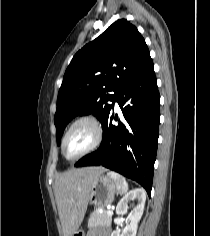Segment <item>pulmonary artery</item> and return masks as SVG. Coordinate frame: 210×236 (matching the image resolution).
I'll use <instances>...</instances> for the list:
<instances>
[{"instance_id": "1", "label": "pulmonary artery", "mask_w": 210, "mask_h": 236, "mask_svg": "<svg viewBox=\"0 0 210 236\" xmlns=\"http://www.w3.org/2000/svg\"><path fill=\"white\" fill-rule=\"evenodd\" d=\"M115 105H117V101H115Z\"/></svg>"}]
</instances>
